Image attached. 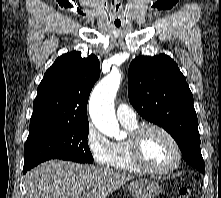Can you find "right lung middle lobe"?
Masks as SVG:
<instances>
[{
  "instance_id": "right-lung-middle-lobe-1",
  "label": "right lung middle lobe",
  "mask_w": 221,
  "mask_h": 198,
  "mask_svg": "<svg viewBox=\"0 0 221 198\" xmlns=\"http://www.w3.org/2000/svg\"><path fill=\"white\" fill-rule=\"evenodd\" d=\"M89 122L40 121L30 124L24 146V168L49 159L92 163L88 146Z\"/></svg>"
}]
</instances>
